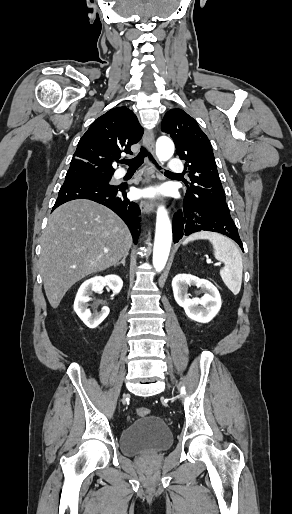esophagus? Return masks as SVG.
<instances>
[{
	"label": "esophagus",
	"instance_id": "obj_1",
	"mask_svg": "<svg viewBox=\"0 0 292 514\" xmlns=\"http://www.w3.org/2000/svg\"><path fill=\"white\" fill-rule=\"evenodd\" d=\"M143 143H144V146L149 150V152H151V154H154L155 136H154L153 132H145L144 137H143ZM146 164H147V166L145 169V174H144V178L142 180V184H147L152 179L153 166L148 161H146ZM139 205H140L142 212H144L145 214H150L151 212H154V210H155V202L153 200H141Z\"/></svg>",
	"mask_w": 292,
	"mask_h": 514
}]
</instances>
